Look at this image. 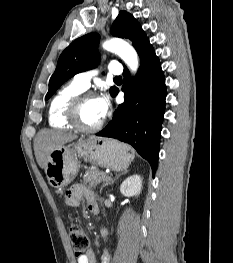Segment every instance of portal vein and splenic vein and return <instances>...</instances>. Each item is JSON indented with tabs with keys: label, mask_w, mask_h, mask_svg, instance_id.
Here are the masks:
<instances>
[{
	"label": "portal vein and splenic vein",
	"mask_w": 233,
	"mask_h": 263,
	"mask_svg": "<svg viewBox=\"0 0 233 263\" xmlns=\"http://www.w3.org/2000/svg\"><path fill=\"white\" fill-rule=\"evenodd\" d=\"M105 180H110V178H107V179H105Z\"/></svg>",
	"instance_id": "1"
}]
</instances>
